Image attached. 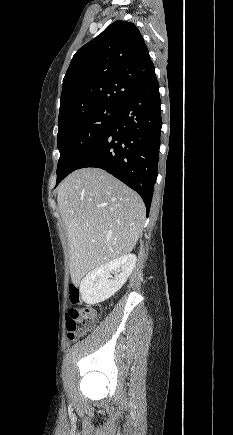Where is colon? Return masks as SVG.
Masks as SVG:
<instances>
[{
  "label": "colon",
  "mask_w": 233,
  "mask_h": 435,
  "mask_svg": "<svg viewBox=\"0 0 233 435\" xmlns=\"http://www.w3.org/2000/svg\"><path fill=\"white\" fill-rule=\"evenodd\" d=\"M81 299V286L78 282L69 285V300L72 304L78 305ZM98 313L92 308L74 307L67 313V337L70 341H75L95 326Z\"/></svg>",
  "instance_id": "1"
}]
</instances>
